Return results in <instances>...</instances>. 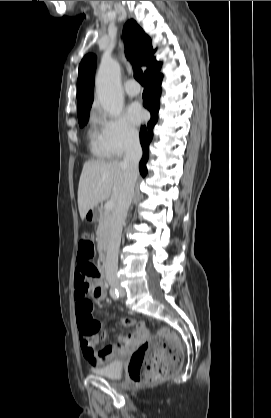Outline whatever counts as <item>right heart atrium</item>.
<instances>
[{"label":"right heart atrium","mask_w":271,"mask_h":418,"mask_svg":"<svg viewBox=\"0 0 271 418\" xmlns=\"http://www.w3.org/2000/svg\"><path fill=\"white\" fill-rule=\"evenodd\" d=\"M101 127L105 144L112 156H121L138 144V131L124 116L102 118Z\"/></svg>","instance_id":"d8ad5b80"}]
</instances>
